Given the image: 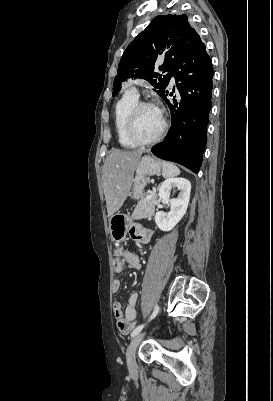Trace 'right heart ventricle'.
I'll return each instance as SVG.
<instances>
[{"mask_svg": "<svg viewBox=\"0 0 273 401\" xmlns=\"http://www.w3.org/2000/svg\"><path fill=\"white\" fill-rule=\"evenodd\" d=\"M138 103V96L132 94L131 92L122 95L114 104V128L118 138L119 144L124 148H137L139 145L131 142L127 139L124 133V125L126 119L134 107Z\"/></svg>", "mask_w": 273, "mask_h": 401, "instance_id": "1", "label": "right heart ventricle"}]
</instances>
